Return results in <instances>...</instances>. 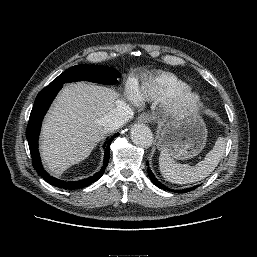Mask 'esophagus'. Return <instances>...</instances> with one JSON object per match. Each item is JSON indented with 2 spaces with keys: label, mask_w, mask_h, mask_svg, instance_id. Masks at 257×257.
<instances>
[{
  "label": "esophagus",
  "mask_w": 257,
  "mask_h": 257,
  "mask_svg": "<svg viewBox=\"0 0 257 257\" xmlns=\"http://www.w3.org/2000/svg\"><path fill=\"white\" fill-rule=\"evenodd\" d=\"M151 121V116L147 113H143L138 117V122L149 123Z\"/></svg>",
  "instance_id": "esophagus-1"
}]
</instances>
